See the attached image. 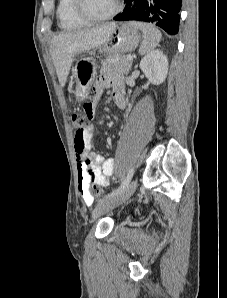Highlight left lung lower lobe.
<instances>
[{
  "mask_svg": "<svg viewBox=\"0 0 227 298\" xmlns=\"http://www.w3.org/2000/svg\"><path fill=\"white\" fill-rule=\"evenodd\" d=\"M126 6L115 21L138 20L152 22L175 35L179 28L181 0H125Z\"/></svg>",
  "mask_w": 227,
  "mask_h": 298,
  "instance_id": "left-lung-lower-lobe-1",
  "label": "left lung lower lobe"
}]
</instances>
